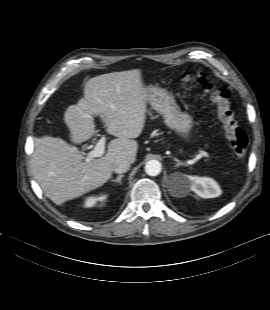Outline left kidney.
Masks as SVG:
<instances>
[{"instance_id": "left-kidney-1", "label": "left kidney", "mask_w": 270, "mask_h": 310, "mask_svg": "<svg viewBox=\"0 0 270 310\" xmlns=\"http://www.w3.org/2000/svg\"><path fill=\"white\" fill-rule=\"evenodd\" d=\"M184 187L195 192L201 198H215L222 193L217 182L209 177L185 175Z\"/></svg>"}]
</instances>
